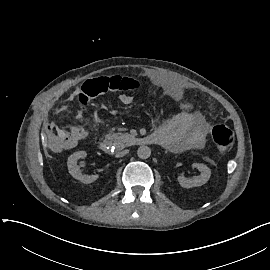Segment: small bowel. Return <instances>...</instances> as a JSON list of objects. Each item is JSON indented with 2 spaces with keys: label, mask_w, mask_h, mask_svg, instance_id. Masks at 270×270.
I'll list each match as a JSON object with an SVG mask.
<instances>
[{
  "label": "small bowel",
  "mask_w": 270,
  "mask_h": 270,
  "mask_svg": "<svg viewBox=\"0 0 270 270\" xmlns=\"http://www.w3.org/2000/svg\"><path fill=\"white\" fill-rule=\"evenodd\" d=\"M144 75L165 85L176 100H184L186 88L173 76L156 71H146ZM119 100L123 105H130L133 97L129 94H121ZM208 131L209 125L205 117L196 113L189 118L168 120L157 128L155 133L160 137L165 149L179 153L191 149H201L205 144ZM45 137L51 142V147L55 152L72 149L78 141L73 133H63L62 128L58 125L48 126L45 130Z\"/></svg>",
  "instance_id": "small-bowel-1"
}]
</instances>
